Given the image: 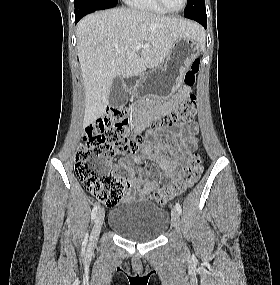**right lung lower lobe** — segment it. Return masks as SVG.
I'll return each instance as SVG.
<instances>
[{"instance_id": "right-lung-lower-lobe-1", "label": "right lung lower lobe", "mask_w": 280, "mask_h": 285, "mask_svg": "<svg viewBox=\"0 0 280 285\" xmlns=\"http://www.w3.org/2000/svg\"><path fill=\"white\" fill-rule=\"evenodd\" d=\"M84 15H75V23H77Z\"/></svg>"}]
</instances>
